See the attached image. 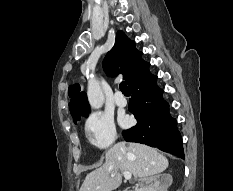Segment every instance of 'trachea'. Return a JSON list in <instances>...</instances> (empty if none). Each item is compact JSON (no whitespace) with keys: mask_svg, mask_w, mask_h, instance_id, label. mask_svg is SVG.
Listing matches in <instances>:
<instances>
[{"mask_svg":"<svg viewBox=\"0 0 233 191\" xmlns=\"http://www.w3.org/2000/svg\"><path fill=\"white\" fill-rule=\"evenodd\" d=\"M119 88H120V90L122 91L123 94H128V93H130V92H129V89H128V87H127V84H126L125 81H122V82L120 83Z\"/></svg>","mask_w":233,"mask_h":191,"instance_id":"obj_1","label":"trachea"}]
</instances>
